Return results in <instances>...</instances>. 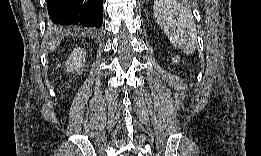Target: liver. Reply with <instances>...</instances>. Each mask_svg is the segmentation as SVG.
Returning a JSON list of instances; mask_svg holds the SVG:
<instances>
[{
	"instance_id": "obj_1",
	"label": "liver",
	"mask_w": 261,
	"mask_h": 156,
	"mask_svg": "<svg viewBox=\"0 0 261 156\" xmlns=\"http://www.w3.org/2000/svg\"><path fill=\"white\" fill-rule=\"evenodd\" d=\"M60 44V40H55L49 43V51H53Z\"/></svg>"
}]
</instances>
